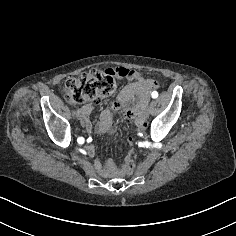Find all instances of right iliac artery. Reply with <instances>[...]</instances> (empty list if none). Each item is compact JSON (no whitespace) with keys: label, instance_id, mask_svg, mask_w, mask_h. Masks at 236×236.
I'll return each mask as SVG.
<instances>
[{"label":"right iliac artery","instance_id":"obj_1","mask_svg":"<svg viewBox=\"0 0 236 236\" xmlns=\"http://www.w3.org/2000/svg\"><path fill=\"white\" fill-rule=\"evenodd\" d=\"M77 142H78L79 144H83V143H84V138H83V137H79V138L77 139Z\"/></svg>","mask_w":236,"mask_h":236}]
</instances>
